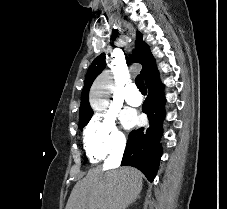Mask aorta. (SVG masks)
Wrapping results in <instances>:
<instances>
[{
    "instance_id": "762f6f07",
    "label": "aorta",
    "mask_w": 227,
    "mask_h": 209,
    "mask_svg": "<svg viewBox=\"0 0 227 209\" xmlns=\"http://www.w3.org/2000/svg\"><path fill=\"white\" fill-rule=\"evenodd\" d=\"M112 85V76L109 71H105L95 80L90 92L91 106L95 111H103L107 107L108 92Z\"/></svg>"
}]
</instances>
